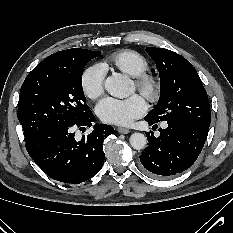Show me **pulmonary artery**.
<instances>
[{"instance_id":"e3ab8cb5","label":"pulmonary artery","mask_w":233,"mask_h":233,"mask_svg":"<svg viewBox=\"0 0 233 233\" xmlns=\"http://www.w3.org/2000/svg\"><path fill=\"white\" fill-rule=\"evenodd\" d=\"M167 125L166 124H163V127H166Z\"/></svg>"}]
</instances>
